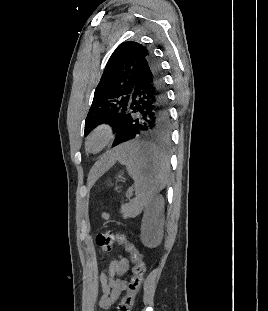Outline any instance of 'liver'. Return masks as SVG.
<instances>
[{
	"label": "liver",
	"instance_id": "obj_1",
	"mask_svg": "<svg viewBox=\"0 0 268 311\" xmlns=\"http://www.w3.org/2000/svg\"><path fill=\"white\" fill-rule=\"evenodd\" d=\"M118 147L114 150L107 152L101 159L95 164L91 171V176L97 178L99 175L106 172L114 163L118 160L120 149Z\"/></svg>",
	"mask_w": 268,
	"mask_h": 311
}]
</instances>
